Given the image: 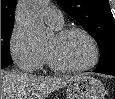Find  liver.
<instances>
[{
	"label": "liver",
	"instance_id": "1",
	"mask_svg": "<svg viewBox=\"0 0 115 99\" xmlns=\"http://www.w3.org/2000/svg\"><path fill=\"white\" fill-rule=\"evenodd\" d=\"M78 76L44 78L1 70V99H45Z\"/></svg>",
	"mask_w": 115,
	"mask_h": 99
}]
</instances>
